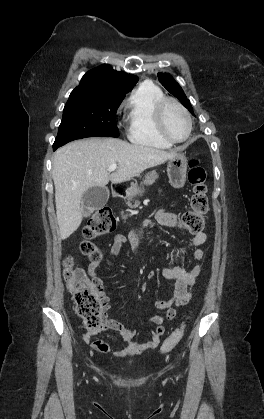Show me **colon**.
Here are the masks:
<instances>
[{"instance_id": "colon-1", "label": "colon", "mask_w": 264, "mask_h": 419, "mask_svg": "<svg viewBox=\"0 0 264 419\" xmlns=\"http://www.w3.org/2000/svg\"><path fill=\"white\" fill-rule=\"evenodd\" d=\"M207 174L205 169L194 158L189 163L188 180L192 185L190 209L185 212L180 220V226L187 232L198 233L204 227V217L208 211L207 199ZM116 228V220L107 208L98 210L88 221L83 229L86 238L81 244V251L92 262H99L101 254L90 239L110 233ZM64 278L68 290L73 296L77 314L82 318L87 331L94 332L103 325L102 313L105 301L99 295L92 280L81 270L75 269L70 259L65 263ZM185 325L176 328L160 347L162 354L170 352L182 339Z\"/></svg>"}]
</instances>
